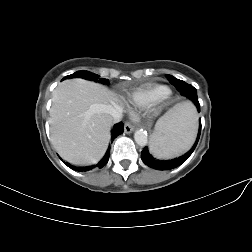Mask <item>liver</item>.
I'll return each mask as SVG.
<instances>
[{
    "label": "liver",
    "instance_id": "1",
    "mask_svg": "<svg viewBox=\"0 0 252 252\" xmlns=\"http://www.w3.org/2000/svg\"><path fill=\"white\" fill-rule=\"evenodd\" d=\"M119 107L116 94L84 79L60 83L50 109L51 142L58 154L74 165L97 163L110 141L112 117L106 107Z\"/></svg>",
    "mask_w": 252,
    "mask_h": 252
}]
</instances>
